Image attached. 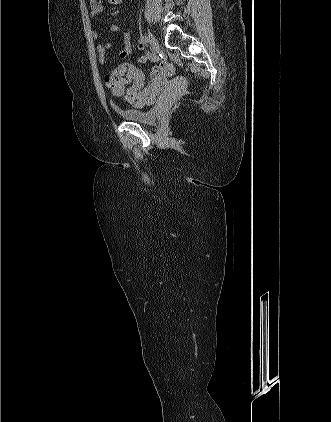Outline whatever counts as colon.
Segmentation results:
<instances>
[{"label":"colon","mask_w":331,"mask_h":422,"mask_svg":"<svg viewBox=\"0 0 331 422\" xmlns=\"http://www.w3.org/2000/svg\"><path fill=\"white\" fill-rule=\"evenodd\" d=\"M153 74L158 79H165L175 75L174 66L169 62H159L153 70ZM143 77L142 72L132 64H122L114 69L110 74V90L116 97L126 96L142 104L150 102L149 98L140 95L132 86L127 91L125 87L129 83H134Z\"/></svg>","instance_id":"1"}]
</instances>
